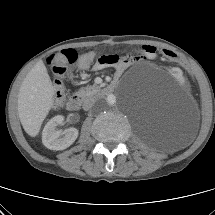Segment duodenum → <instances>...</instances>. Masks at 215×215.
I'll use <instances>...</instances> for the list:
<instances>
[{"label":"duodenum","mask_w":215,"mask_h":215,"mask_svg":"<svg viewBox=\"0 0 215 215\" xmlns=\"http://www.w3.org/2000/svg\"><path fill=\"white\" fill-rule=\"evenodd\" d=\"M116 87V81L110 83L105 89V93H111ZM84 97L81 95H73L67 101V109L70 111H77L81 108L84 103Z\"/></svg>","instance_id":"obj_1"}]
</instances>
